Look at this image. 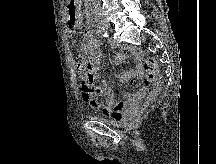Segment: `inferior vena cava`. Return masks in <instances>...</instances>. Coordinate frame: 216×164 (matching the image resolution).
I'll return each mask as SVG.
<instances>
[{
	"instance_id": "obj_1",
	"label": "inferior vena cava",
	"mask_w": 216,
	"mask_h": 164,
	"mask_svg": "<svg viewBox=\"0 0 216 164\" xmlns=\"http://www.w3.org/2000/svg\"><path fill=\"white\" fill-rule=\"evenodd\" d=\"M94 1L96 2L95 5H100V4H99V0H94Z\"/></svg>"
}]
</instances>
